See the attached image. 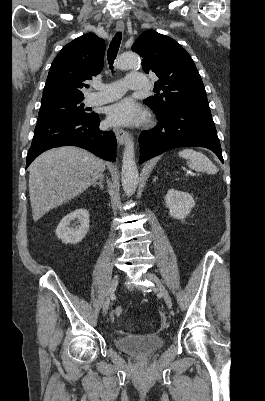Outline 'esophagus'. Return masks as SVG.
<instances>
[{
	"mask_svg": "<svg viewBox=\"0 0 265 401\" xmlns=\"http://www.w3.org/2000/svg\"><path fill=\"white\" fill-rule=\"evenodd\" d=\"M116 30L117 32H123L124 23L122 21H118L116 23ZM113 131L115 132V135L117 137L118 144L124 145L125 141L128 138V133L125 130H123V128H120V126H115L113 128Z\"/></svg>",
	"mask_w": 265,
	"mask_h": 401,
	"instance_id": "34e87169",
	"label": "esophagus"
}]
</instances>
